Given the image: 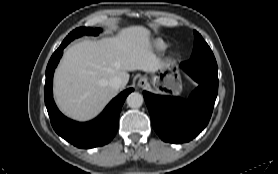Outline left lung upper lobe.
<instances>
[{"mask_svg": "<svg viewBox=\"0 0 278 174\" xmlns=\"http://www.w3.org/2000/svg\"><path fill=\"white\" fill-rule=\"evenodd\" d=\"M194 37V49L190 60H197L212 68L218 69L215 57L208 44L197 31H194Z\"/></svg>", "mask_w": 278, "mask_h": 174, "instance_id": "left-lung-upper-lobe-1", "label": "left lung upper lobe"}]
</instances>
